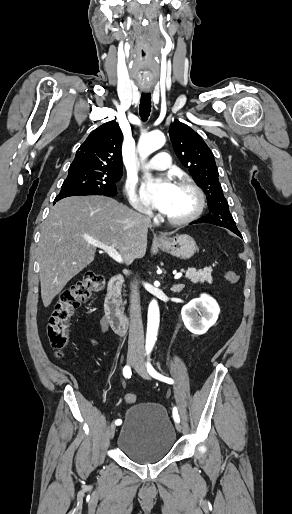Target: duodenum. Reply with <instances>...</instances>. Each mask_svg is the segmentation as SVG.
Here are the masks:
<instances>
[{
    "label": "duodenum",
    "instance_id": "410a0bca",
    "mask_svg": "<svg viewBox=\"0 0 292 514\" xmlns=\"http://www.w3.org/2000/svg\"><path fill=\"white\" fill-rule=\"evenodd\" d=\"M123 282L124 277L121 273L114 274L110 278L105 300L107 321L110 326L118 332H122L127 327V319L123 314L120 304V293Z\"/></svg>",
    "mask_w": 292,
    "mask_h": 514
}]
</instances>
